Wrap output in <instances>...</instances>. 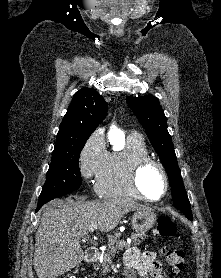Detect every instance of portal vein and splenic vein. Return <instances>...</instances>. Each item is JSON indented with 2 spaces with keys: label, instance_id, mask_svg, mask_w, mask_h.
<instances>
[{
  "label": "portal vein and splenic vein",
  "instance_id": "obj_1",
  "mask_svg": "<svg viewBox=\"0 0 221 278\" xmlns=\"http://www.w3.org/2000/svg\"><path fill=\"white\" fill-rule=\"evenodd\" d=\"M96 228H97V223H92V224L89 226L88 231H89L90 233H93L94 230H95ZM128 243H130V242H128ZM128 243H126L124 240L120 241V244H121V245H125V244H128Z\"/></svg>",
  "mask_w": 221,
  "mask_h": 278
}]
</instances>
